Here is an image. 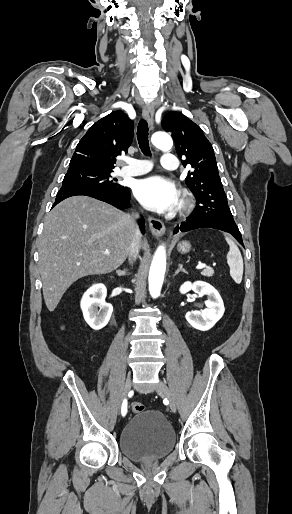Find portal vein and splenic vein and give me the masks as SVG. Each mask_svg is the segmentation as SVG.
<instances>
[{"label": "portal vein and splenic vein", "instance_id": "1", "mask_svg": "<svg viewBox=\"0 0 292 514\" xmlns=\"http://www.w3.org/2000/svg\"><path fill=\"white\" fill-rule=\"evenodd\" d=\"M105 254H110L108 250H106ZM197 270H201V268H206V264H199V266H196Z\"/></svg>", "mask_w": 292, "mask_h": 514}]
</instances>
